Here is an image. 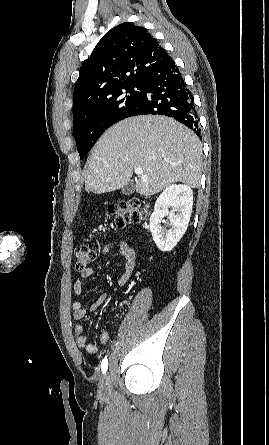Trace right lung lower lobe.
<instances>
[{
    "instance_id": "98d812e1",
    "label": "right lung lower lobe",
    "mask_w": 269,
    "mask_h": 445,
    "mask_svg": "<svg viewBox=\"0 0 269 445\" xmlns=\"http://www.w3.org/2000/svg\"><path fill=\"white\" fill-rule=\"evenodd\" d=\"M141 84L142 95L127 117L146 114L169 116L200 136L193 97L172 58L148 73Z\"/></svg>"
}]
</instances>
